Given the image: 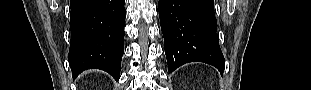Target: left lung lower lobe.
<instances>
[{
  "mask_svg": "<svg viewBox=\"0 0 311 90\" xmlns=\"http://www.w3.org/2000/svg\"><path fill=\"white\" fill-rule=\"evenodd\" d=\"M159 16L168 72L199 61L224 71L214 0H159Z\"/></svg>",
  "mask_w": 311,
  "mask_h": 90,
  "instance_id": "left-lung-lower-lobe-1",
  "label": "left lung lower lobe"
}]
</instances>
